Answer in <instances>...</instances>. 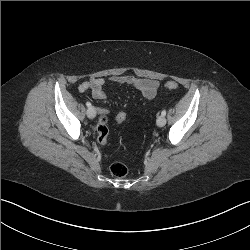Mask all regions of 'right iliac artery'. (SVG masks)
Masks as SVG:
<instances>
[{
  "instance_id": "right-iliac-artery-1",
  "label": "right iliac artery",
  "mask_w": 250,
  "mask_h": 250,
  "mask_svg": "<svg viewBox=\"0 0 250 250\" xmlns=\"http://www.w3.org/2000/svg\"><path fill=\"white\" fill-rule=\"evenodd\" d=\"M86 106H87L88 108H90V107H91V103H90V102H86Z\"/></svg>"
}]
</instances>
